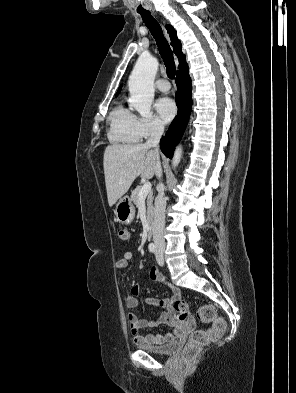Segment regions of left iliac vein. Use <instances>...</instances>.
<instances>
[{"mask_svg":"<svg viewBox=\"0 0 296 393\" xmlns=\"http://www.w3.org/2000/svg\"><path fill=\"white\" fill-rule=\"evenodd\" d=\"M156 256V261L160 266H163L164 264V257H163V252L159 251V249L155 253Z\"/></svg>","mask_w":296,"mask_h":393,"instance_id":"4c4485c4","label":"left iliac vein"}]
</instances>
